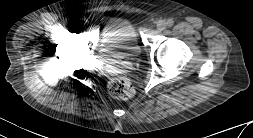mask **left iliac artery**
<instances>
[{"label": "left iliac artery", "instance_id": "44dca946", "mask_svg": "<svg viewBox=\"0 0 253 138\" xmlns=\"http://www.w3.org/2000/svg\"><path fill=\"white\" fill-rule=\"evenodd\" d=\"M173 24H174L173 19H168L167 22H166V26H168V27H172Z\"/></svg>", "mask_w": 253, "mask_h": 138}]
</instances>
